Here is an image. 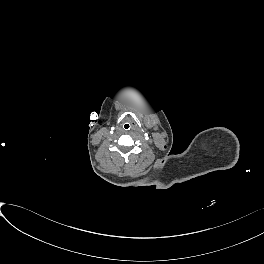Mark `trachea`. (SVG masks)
Wrapping results in <instances>:
<instances>
[{"label":"trachea","mask_w":264,"mask_h":264,"mask_svg":"<svg viewBox=\"0 0 264 264\" xmlns=\"http://www.w3.org/2000/svg\"><path fill=\"white\" fill-rule=\"evenodd\" d=\"M122 127H123V129L125 131H129L131 129L132 125L129 122H124L123 125H122Z\"/></svg>","instance_id":"3493384b"}]
</instances>
